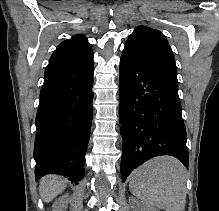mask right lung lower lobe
Returning <instances> with one entry per match:
<instances>
[{"mask_svg":"<svg viewBox=\"0 0 219 211\" xmlns=\"http://www.w3.org/2000/svg\"><path fill=\"white\" fill-rule=\"evenodd\" d=\"M93 58L49 63L36 116V179L60 174L77 183L84 174L93 113Z\"/></svg>","mask_w":219,"mask_h":211,"instance_id":"1","label":"right lung lower lobe"}]
</instances>
